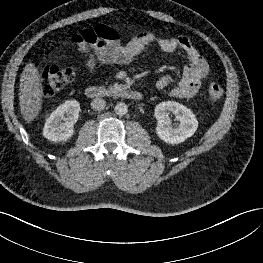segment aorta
<instances>
[{
	"instance_id": "762f6f07",
	"label": "aorta",
	"mask_w": 263,
	"mask_h": 263,
	"mask_svg": "<svg viewBox=\"0 0 263 263\" xmlns=\"http://www.w3.org/2000/svg\"><path fill=\"white\" fill-rule=\"evenodd\" d=\"M128 112V106L125 103H117L115 106V113L119 116H123L127 114Z\"/></svg>"
}]
</instances>
